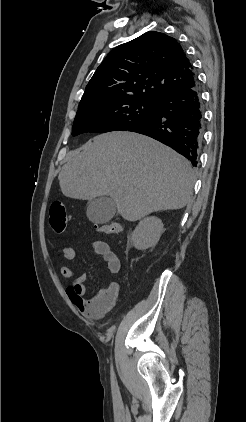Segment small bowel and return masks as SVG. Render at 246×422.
I'll return each mask as SVG.
<instances>
[{"label":"small bowel","instance_id":"obj_1","mask_svg":"<svg viewBox=\"0 0 246 422\" xmlns=\"http://www.w3.org/2000/svg\"><path fill=\"white\" fill-rule=\"evenodd\" d=\"M92 248L95 253L101 256L106 262L111 273L119 272L121 263L109 244L98 240L92 243ZM59 253L68 261H73L76 258V251L71 246L62 247L59 250ZM59 273L62 277L67 279L74 278L75 276V271L68 266H61ZM85 280V274L77 276L67 286L66 294L70 301L86 316L90 318H101L110 312L115 306L119 297L120 287L116 282H112L96 296L85 298Z\"/></svg>","mask_w":246,"mask_h":422}]
</instances>
